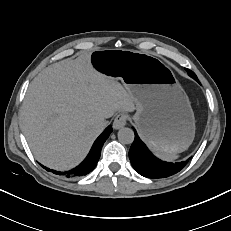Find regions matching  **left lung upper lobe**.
<instances>
[{
	"label": "left lung upper lobe",
	"mask_w": 231,
	"mask_h": 231,
	"mask_svg": "<svg viewBox=\"0 0 231 231\" xmlns=\"http://www.w3.org/2000/svg\"><path fill=\"white\" fill-rule=\"evenodd\" d=\"M186 70H187V72H188V74H189L190 77L194 78V80H196L197 82H199L198 79H197V76L195 75L194 72H192L189 69H186Z\"/></svg>",
	"instance_id": "1"
}]
</instances>
